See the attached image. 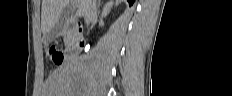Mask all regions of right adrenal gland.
Instances as JSON below:
<instances>
[{
	"label": "right adrenal gland",
	"mask_w": 232,
	"mask_h": 96,
	"mask_svg": "<svg viewBox=\"0 0 232 96\" xmlns=\"http://www.w3.org/2000/svg\"><path fill=\"white\" fill-rule=\"evenodd\" d=\"M101 1H103V0H98V3H97V11H98V13L100 12L99 10H100V6H101Z\"/></svg>",
	"instance_id": "1"
}]
</instances>
